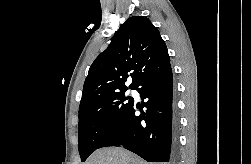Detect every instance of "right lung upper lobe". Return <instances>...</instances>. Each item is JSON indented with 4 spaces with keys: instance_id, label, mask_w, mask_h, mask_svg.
Segmentation results:
<instances>
[{
    "instance_id": "right-lung-upper-lobe-1",
    "label": "right lung upper lobe",
    "mask_w": 251,
    "mask_h": 164,
    "mask_svg": "<svg viewBox=\"0 0 251 164\" xmlns=\"http://www.w3.org/2000/svg\"><path fill=\"white\" fill-rule=\"evenodd\" d=\"M170 62L158 29L144 16H132L115 33L109 47L92 63L85 80L79 109L99 97L136 89L144 77Z\"/></svg>"
}]
</instances>
